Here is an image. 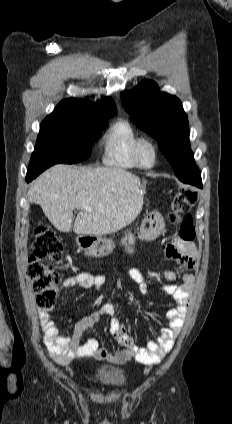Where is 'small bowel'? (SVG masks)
<instances>
[{"mask_svg":"<svg viewBox=\"0 0 232 424\" xmlns=\"http://www.w3.org/2000/svg\"><path fill=\"white\" fill-rule=\"evenodd\" d=\"M162 251L166 257L183 266L186 271L181 275L179 283L167 284L163 287L164 292L174 299L175 305L167 311L168 325L161 330L159 336L155 340L148 341L145 347L138 346L128 335L124 323L115 316L116 309L111 302L102 303L98 309L78 321L69 336L61 334L57 324L50 318L47 311L40 310L38 316L45 333L44 343L51 357L57 363L65 365L76 359L93 358L116 364L136 360L146 365H155L173 349L175 340L184 324L183 317L188 312L191 302L194 288L192 270L197 265L199 251L194 242L181 238H174L171 242L164 244ZM127 275L129 279L139 285L141 294L148 293L143 274L138 270L131 269ZM162 277L168 282H173L177 279V274L168 270L163 273ZM105 284L104 276L79 271L66 277L61 287L63 289L82 287L101 290ZM102 316L111 317L109 331L123 347L122 350L111 352L109 349L101 347L95 338L81 343L83 335L93 328Z\"/></svg>","mask_w":232,"mask_h":424,"instance_id":"c3829d8e","label":"small bowel"}]
</instances>
